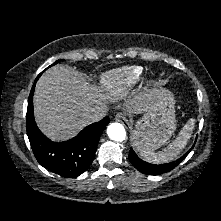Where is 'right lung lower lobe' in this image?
Wrapping results in <instances>:
<instances>
[{
  "mask_svg": "<svg viewBox=\"0 0 221 221\" xmlns=\"http://www.w3.org/2000/svg\"><path fill=\"white\" fill-rule=\"evenodd\" d=\"M36 81L29 95L26 115L27 135L32 151L39 164L46 169L62 177L79 176L94 160L99 139L110 119L105 117L101 121L85 127L71 140L62 143L49 140L38 129L34 119L33 94Z\"/></svg>",
  "mask_w": 221,
  "mask_h": 221,
  "instance_id": "right-lung-lower-lobe-1",
  "label": "right lung lower lobe"
}]
</instances>
